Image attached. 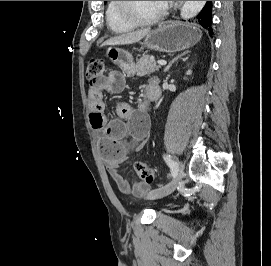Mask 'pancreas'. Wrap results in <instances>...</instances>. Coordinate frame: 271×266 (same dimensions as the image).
Returning a JSON list of instances; mask_svg holds the SVG:
<instances>
[{
	"label": "pancreas",
	"mask_w": 271,
	"mask_h": 266,
	"mask_svg": "<svg viewBox=\"0 0 271 266\" xmlns=\"http://www.w3.org/2000/svg\"><path fill=\"white\" fill-rule=\"evenodd\" d=\"M135 70L138 76H144L158 71L159 66L156 65L155 58L153 56L145 55L137 61Z\"/></svg>",
	"instance_id": "pancreas-1"
}]
</instances>
